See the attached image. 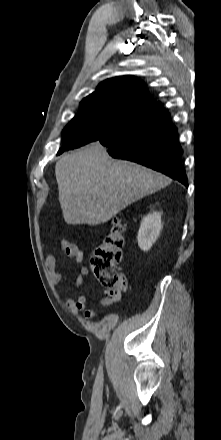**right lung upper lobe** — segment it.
I'll list each match as a JSON object with an SVG mask.
<instances>
[{
  "label": "right lung upper lobe",
  "instance_id": "1",
  "mask_svg": "<svg viewBox=\"0 0 221 440\" xmlns=\"http://www.w3.org/2000/svg\"><path fill=\"white\" fill-rule=\"evenodd\" d=\"M84 103L110 102L121 109L135 112L153 104L143 82L134 76H121L99 84L98 89L83 99Z\"/></svg>",
  "mask_w": 221,
  "mask_h": 440
}]
</instances>
